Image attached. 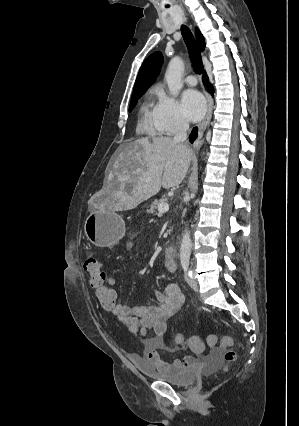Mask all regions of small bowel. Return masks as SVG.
<instances>
[{
    "mask_svg": "<svg viewBox=\"0 0 299 426\" xmlns=\"http://www.w3.org/2000/svg\"><path fill=\"white\" fill-rule=\"evenodd\" d=\"M163 264L169 272H174L176 269L175 261L164 259ZM106 280L112 287L117 284L114 276L106 275ZM155 296L157 299L155 306L127 305L117 302L109 311L117 316L131 333L142 336L144 358L157 368H165L171 364L161 357V352L174 351V348L167 347L166 344L167 321L181 309L184 296L179 286L174 283L168 284L163 292L156 291ZM132 359L137 361L140 357L132 355ZM196 363L195 356L187 355L182 359H176L172 365L191 368Z\"/></svg>",
    "mask_w": 299,
    "mask_h": 426,
    "instance_id": "small-bowel-1",
    "label": "small bowel"
}]
</instances>
